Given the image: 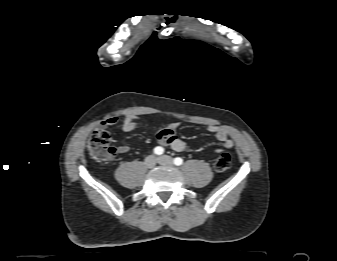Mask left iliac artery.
<instances>
[{
    "label": "left iliac artery",
    "instance_id": "left-iliac-artery-1",
    "mask_svg": "<svg viewBox=\"0 0 337 261\" xmlns=\"http://www.w3.org/2000/svg\"><path fill=\"white\" fill-rule=\"evenodd\" d=\"M182 163H183V159H182V158L176 157V158L174 159V164H175V165L180 166V165H182Z\"/></svg>",
    "mask_w": 337,
    "mask_h": 261
}]
</instances>
